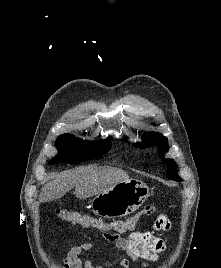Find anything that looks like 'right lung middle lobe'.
Returning <instances> with one entry per match:
<instances>
[{
	"label": "right lung middle lobe",
	"instance_id": "right-lung-middle-lobe-1",
	"mask_svg": "<svg viewBox=\"0 0 221 268\" xmlns=\"http://www.w3.org/2000/svg\"><path fill=\"white\" fill-rule=\"evenodd\" d=\"M112 137L100 142L82 141L69 134L58 137L56 147L59 153L49 161V164L57 162L76 163L89 160L107 153L111 147Z\"/></svg>",
	"mask_w": 221,
	"mask_h": 268
}]
</instances>
